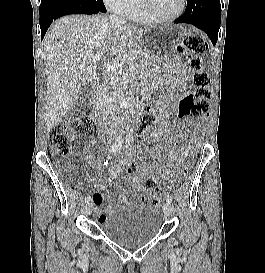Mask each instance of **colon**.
Instances as JSON below:
<instances>
[{
    "instance_id": "colon-1",
    "label": "colon",
    "mask_w": 265,
    "mask_h": 273,
    "mask_svg": "<svg viewBox=\"0 0 265 273\" xmlns=\"http://www.w3.org/2000/svg\"><path fill=\"white\" fill-rule=\"evenodd\" d=\"M177 51L181 54H189L188 67L194 72L193 84L195 91L185 96L179 103L178 116L180 118L201 117L209 112L211 93L209 90V75L202 70L199 55L206 51V43L204 39L197 33H190L184 36L183 40L177 47ZM157 121L155 112L146 113L140 122L137 130V137L141 140L144 132L153 126ZM97 132L96 124L90 117H83L80 120L72 122H61L57 124L49 134V142L54 148L57 155L66 157L72 148V140L75 135L81 138L93 137ZM195 140V137H192ZM195 147V144H191ZM189 169L188 165L184 166V170ZM137 167L131 164L127 167L129 174L136 173ZM157 183L152 178L144 181V189L146 191H154Z\"/></svg>"
}]
</instances>
